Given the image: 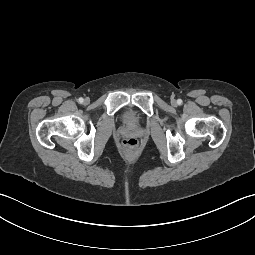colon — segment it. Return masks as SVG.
Instances as JSON below:
<instances>
[{
	"label": "colon",
	"mask_w": 255,
	"mask_h": 255,
	"mask_svg": "<svg viewBox=\"0 0 255 255\" xmlns=\"http://www.w3.org/2000/svg\"><path fill=\"white\" fill-rule=\"evenodd\" d=\"M122 144H123L125 149H127L129 151H134L135 149H137V147L139 145V142L136 138L129 137V138H125L122 141Z\"/></svg>",
	"instance_id": "obj_1"
}]
</instances>
